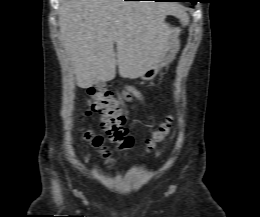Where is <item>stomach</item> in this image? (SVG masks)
<instances>
[{"mask_svg":"<svg viewBox=\"0 0 260 217\" xmlns=\"http://www.w3.org/2000/svg\"><path fill=\"white\" fill-rule=\"evenodd\" d=\"M178 51L177 45H176V37L174 34H171V36L168 39V45L164 48L163 55H162V61L161 64H158L157 66L151 67L147 70H145L141 75L140 78L143 80H151L153 79L160 67L164 64L169 63L172 59H174L176 53Z\"/></svg>","mask_w":260,"mask_h":217,"instance_id":"0dacf381","label":"stomach"}]
</instances>
